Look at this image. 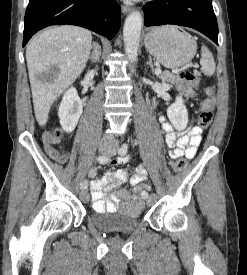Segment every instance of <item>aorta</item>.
<instances>
[{
	"instance_id": "1",
	"label": "aorta",
	"mask_w": 247,
	"mask_h": 275,
	"mask_svg": "<svg viewBox=\"0 0 247 275\" xmlns=\"http://www.w3.org/2000/svg\"><path fill=\"white\" fill-rule=\"evenodd\" d=\"M142 24V15L139 11H133L132 13H130L124 23V47L126 55L131 63L137 61ZM131 70L135 71L134 68H132Z\"/></svg>"
}]
</instances>
